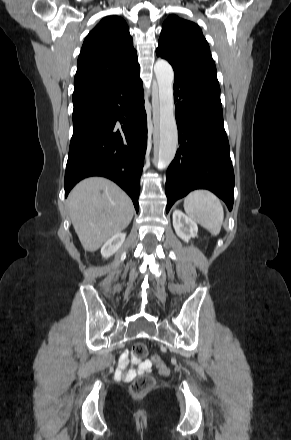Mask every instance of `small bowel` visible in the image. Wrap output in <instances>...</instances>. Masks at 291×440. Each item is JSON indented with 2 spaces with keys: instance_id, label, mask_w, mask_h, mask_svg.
Masks as SVG:
<instances>
[{
  "instance_id": "obj_1",
  "label": "small bowel",
  "mask_w": 291,
  "mask_h": 440,
  "mask_svg": "<svg viewBox=\"0 0 291 440\" xmlns=\"http://www.w3.org/2000/svg\"><path fill=\"white\" fill-rule=\"evenodd\" d=\"M151 370L152 362L150 360H138L131 357L130 353L126 351L119 359L116 375L120 378L129 379Z\"/></svg>"
}]
</instances>
